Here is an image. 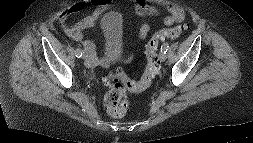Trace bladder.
Here are the masks:
<instances>
[{"label":"bladder","mask_w":253,"mask_h":143,"mask_svg":"<svg viewBox=\"0 0 253 143\" xmlns=\"http://www.w3.org/2000/svg\"><path fill=\"white\" fill-rule=\"evenodd\" d=\"M102 52L101 65L110 67L124 55V29L118 11H108L101 19Z\"/></svg>","instance_id":"obj_1"}]
</instances>
